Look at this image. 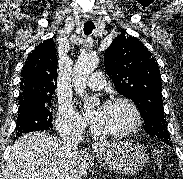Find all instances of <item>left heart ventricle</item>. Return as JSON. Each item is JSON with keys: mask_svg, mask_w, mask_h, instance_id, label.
Instances as JSON below:
<instances>
[{"mask_svg": "<svg viewBox=\"0 0 183 179\" xmlns=\"http://www.w3.org/2000/svg\"><path fill=\"white\" fill-rule=\"evenodd\" d=\"M102 132H116L128 128L133 122L131 109L122 103L105 105Z\"/></svg>", "mask_w": 183, "mask_h": 179, "instance_id": "left-heart-ventricle-1", "label": "left heart ventricle"}]
</instances>
